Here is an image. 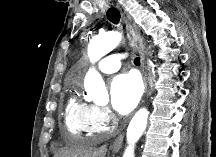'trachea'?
<instances>
[{
  "label": "trachea",
  "mask_w": 216,
  "mask_h": 157,
  "mask_svg": "<svg viewBox=\"0 0 216 157\" xmlns=\"http://www.w3.org/2000/svg\"><path fill=\"white\" fill-rule=\"evenodd\" d=\"M106 15H107L108 20L112 22L113 24H118L121 18L120 11L115 7L109 8ZM134 64L138 66L140 65L139 57L134 59Z\"/></svg>",
  "instance_id": "1"
}]
</instances>
